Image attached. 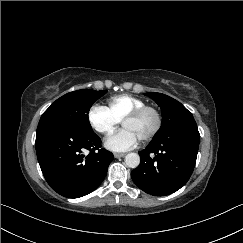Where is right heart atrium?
Masks as SVG:
<instances>
[{
    "label": "right heart atrium",
    "instance_id": "right-heart-atrium-1",
    "mask_svg": "<svg viewBox=\"0 0 243 243\" xmlns=\"http://www.w3.org/2000/svg\"><path fill=\"white\" fill-rule=\"evenodd\" d=\"M89 125L100 134L110 133L120 122L109 110L108 107L94 104L87 112Z\"/></svg>",
    "mask_w": 243,
    "mask_h": 243
}]
</instances>
